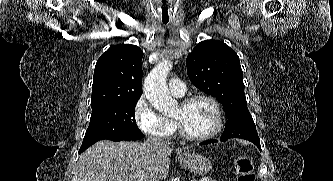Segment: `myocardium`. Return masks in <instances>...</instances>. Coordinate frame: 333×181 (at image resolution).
I'll list each match as a JSON object with an SVG mask.
<instances>
[{
  "label": "myocardium",
  "instance_id": "f54148a6",
  "mask_svg": "<svg viewBox=\"0 0 333 181\" xmlns=\"http://www.w3.org/2000/svg\"><path fill=\"white\" fill-rule=\"evenodd\" d=\"M198 100H205L212 105V107L215 111L216 121H215V125H214L213 129L211 131H209L208 133H205L202 135H193L186 131V129L184 128V126L182 125V123L179 120L175 119L181 136L190 141H206V140L214 137L215 135H217L223 126L222 108H221L220 103L213 96H210L207 94L193 95V96L187 97L184 100H182L180 102V105L187 106Z\"/></svg>",
  "mask_w": 333,
  "mask_h": 181
}]
</instances>
